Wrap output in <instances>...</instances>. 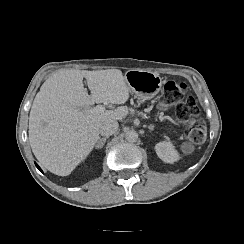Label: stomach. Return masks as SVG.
<instances>
[{
  "mask_svg": "<svg viewBox=\"0 0 244 244\" xmlns=\"http://www.w3.org/2000/svg\"><path fill=\"white\" fill-rule=\"evenodd\" d=\"M125 78L133 93L142 100L153 99L163 85L159 74L147 70L131 69L126 72Z\"/></svg>",
  "mask_w": 244,
  "mask_h": 244,
  "instance_id": "obj_1",
  "label": "stomach"
}]
</instances>
